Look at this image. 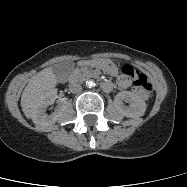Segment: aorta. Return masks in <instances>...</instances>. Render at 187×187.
I'll return each mask as SVG.
<instances>
[{
	"instance_id": "1",
	"label": "aorta",
	"mask_w": 187,
	"mask_h": 187,
	"mask_svg": "<svg viewBox=\"0 0 187 187\" xmlns=\"http://www.w3.org/2000/svg\"><path fill=\"white\" fill-rule=\"evenodd\" d=\"M87 86H88L89 88H92L93 86H95V83H94L93 81H89V82L87 83Z\"/></svg>"
}]
</instances>
